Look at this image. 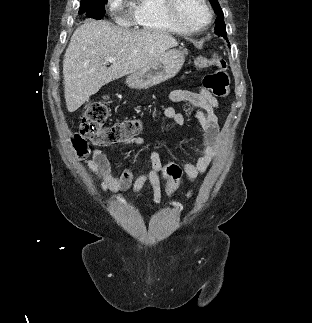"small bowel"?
I'll list each match as a JSON object with an SVG mask.
<instances>
[{
    "mask_svg": "<svg viewBox=\"0 0 312 323\" xmlns=\"http://www.w3.org/2000/svg\"><path fill=\"white\" fill-rule=\"evenodd\" d=\"M172 103H188L194 107L187 115L179 112L172 106L164 109L163 115L178 126H183L188 119L195 121L202 133V150L198 155L195 164L184 161L183 167L185 176L190 181L197 180L208 169L212 159L220 147V128L217 111L220 108L219 101L213 94L203 87L197 91L187 89H174L169 94ZM132 146L141 147L145 139L141 136L127 140ZM89 170L101 181L103 191L116 192L113 200L122 198V192L131 188L132 193L139 192L146 182H149L153 189L154 199H161L160 172L163 171L165 157L159 152L150 153V166L147 172L133 181L134 169L124 170L121 174L115 175L112 172L110 162L105 152L101 149L93 151L90 159L86 161Z\"/></svg>",
    "mask_w": 312,
    "mask_h": 323,
    "instance_id": "1",
    "label": "small bowel"
}]
</instances>
